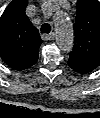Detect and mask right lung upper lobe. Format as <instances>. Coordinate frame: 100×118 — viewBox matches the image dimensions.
<instances>
[{"label":"right lung upper lobe","instance_id":"obj_1","mask_svg":"<svg viewBox=\"0 0 100 118\" xmlns=\"http://www.w3.org/2000/svg\"><path fill=\"white\" fill-rule=\"evenodd\" d=\"M26 6L27 0H13L0 18V56L18 71L36 63L42 43L38 30L25 14Z\"/></svg>","mask_w":100,"mask_h":118}]
</instances>
